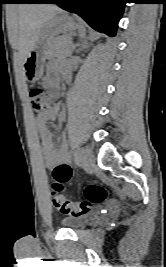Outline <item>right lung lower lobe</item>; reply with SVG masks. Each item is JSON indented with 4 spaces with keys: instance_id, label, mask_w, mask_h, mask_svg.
Wrapping results in <instances>:
<instances>
[{
    "instance_id": "1",
    "label": "right lung lower lobe",
    "mask_w": 166,
    "mask_h": 267,
    "mask_svg": "<svg viewBox=\"0 0 166 267\" xmlns=\"http://www.w3.org/2000/svg\"><path fill=\"white\" fill-rule=\"evenodd\" d=\"M41 0H27L26 2L27 3H38L40 2Z\"/></svg>"
}]
</instances>
